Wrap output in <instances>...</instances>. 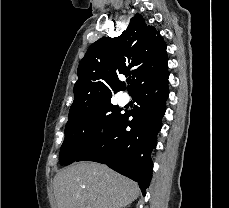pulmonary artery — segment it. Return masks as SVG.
I'll use <instances>...</instances> for the list:
<instances>
[{"mask_svg":"<svg viewBox=\"0 0 229 208\" xmlns=\"http://www.w3.org/2000/svg\"><path fill=\"white\" fill-rule=\"evenodd\" d=\"M129 99H130V97H129L128 94H123V95H121V96L119 97V103H120L121 105H125L126 103H128Z\"/></svg>","mask_w":229,"mask_h":208,"instance_id":"e3ab8cb5","label":"pulmonary artery"}]
</instances>
